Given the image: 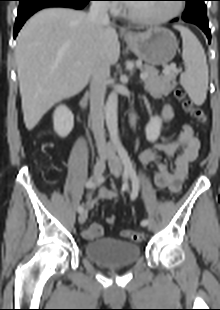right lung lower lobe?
<instances>
[{"label":"right lung lower lobe","mask_w":220,"mask_h":310,"mask_svg":"<svg viewBox=\"0 0 220 310\" xmlns=\"http://www.w3.org/2000/svg\"><path fill=\"white\" fill-rule=\"evenodd\" d=\"M18 16L14 27V38L25 21L35 12L47 7H69L82 9L91 0H19Z\"/></svg>","instance_id":"1"}]
</instances>
